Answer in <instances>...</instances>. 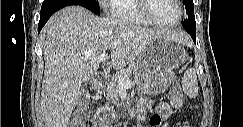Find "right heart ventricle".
Returning a JSON list of instances; mask_svg holds the SVG:
<instances>
[{"mask_svg": "<svg viewBox=\"0 0 243 127\" xmlns=\"http://www.w3.org/2000/svg\"><path fill=\"white\" fill-rule=\"evenodd\" d=\"M139 0H111L109 2V9L112 18L120 22L152 26L140 12Z\"/></svg>", "mask_w": 243, "mask_h": 127, "instance_id": "e07e8e85", "label": "right heart ventricle"}]
</instances>
